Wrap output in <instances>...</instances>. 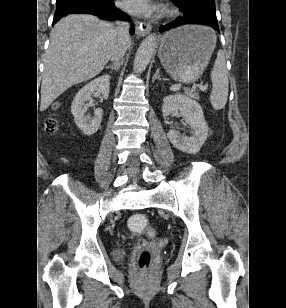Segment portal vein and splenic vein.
Here are the masks:
<instances>
[{
	"label": "portal vein and splenic vein",
	"mask_w": 286,
	"mask_h": 308,
	"mask_svg": "<svg viewBox=\"0 0 286 308\" xmlns=\"http://www.w3.org/2000/svg\"><path fill=\"white\" fill-rule=\"evenodd\" d=\"M182 87V84H175V85H173L172 87H171V89H179V88H181ZM200 88L202 89V90H206L207 88H208V85H204V86H200Z\"/></svg>",
	"instance_id": "obj_1"
}]
</instances>
